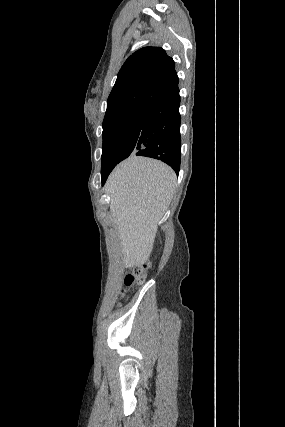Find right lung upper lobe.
<instances>
[{
  "instance_id": "obj_1",
  "label": "right lung upper lobe",
  "mask_w": 285,
  "mask_h": 427,
  "mask_svg": "<svg viewBox=\"0 0 285 427\" xmlns=\"http://www.w3.org/2000/svg\"><path fill=\"white\" fill-rule=\"evenodd\" d=\"M179 79L173 59L160 47H145L133 53L121 67L107 100L103 124L147 110L173 94Z\"/></svg>"
}]
</instances>
